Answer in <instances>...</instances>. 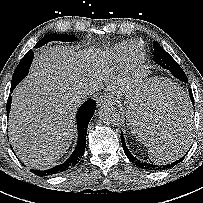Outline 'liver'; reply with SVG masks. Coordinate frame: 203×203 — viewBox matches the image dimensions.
<instances>
[{"mask_svg":"<svg viewBox=\"0 0 203 203\" xmlns=\"http://www.w3.org/2000/svg\"><path fill=\"white\" fill-rule=\"evenodd\" d=\"M89 54L60 46L46 47L35 56L28 77L16 87L8 133L13 149L26 165L48 169L71 144L75 111L80 103L75 100V93L95 88L108 77L107 70L101 72L102 67L92 63ZM133 100L140 101V94ZM127 119L128 125L158 146L180 132L181 120L176 113L159 114L154 129L139 122L135 111L127 113Z\"/></svg>","mask_w":203,"mask_h":203,"instance_id":"liver-1","label":"liver"}]
</instances>
